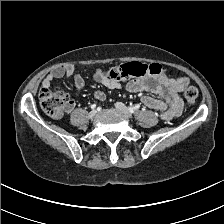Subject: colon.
I'll list each match as a JSON object with an SVG mask.
<instances>
[{"label": "colon", "mask_w": 224, "mask_h": 224, "mask_svg": "<svg viewBox=\"0 0 224 224\" xmlns=\"http://www.w3.org/2000/svg\"><path fill=\"white\" fill-rule=\"evenodd\" d=\"M165 74L164 68L157 63L142 64L129 63L109 70L108 77L112 80H122L130 77H142L145 75L161 76ZM184 97L189 103H195L198 98V90L194 86L185 89ZM39 101L44 112L50 117L57 118L68 105L67 95L61 91H52L49 88L41 89Z\"/></svg>", "instance_id": "obj_1"}]
</instances>
